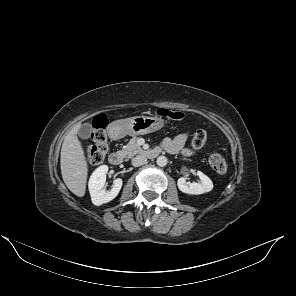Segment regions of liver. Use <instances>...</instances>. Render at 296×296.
Listing matches in <instances>:
<instances>
[{
    "instance_id": "6515ba94",
    "label": "liver",
    "mask_w": 296,
    "mask_h": 296,
    "mask_svg": "<svg viewBox=\"0 0 296 296\" xmlns=\"http://www.w3.org/2000/svg\"><path fill=\"white\" fill-rule=\"evenodd\" d=\"M81 125L76 124L65 136L60 157L61 174L68 189L78 197L86 192L88 165L83 146L77 137Z\"/></svg>"
}]
</instances>
